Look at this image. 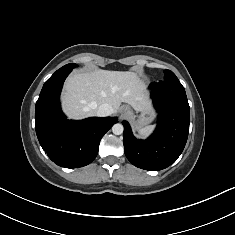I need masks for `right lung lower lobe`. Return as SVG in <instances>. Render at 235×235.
<instances>
[{
    "instance_id": "1",
    "label": "right lung lower lobe",
    "mask_w": 235,
    "mask_h": 235,
    "mask_svg": "<svg viewBox=\"0 0 235 235\" xmlns=\"http://www.w3.org/2000/svg\"><path fill=\"white\" fill-rule=\"evenodd\" d=\"M71 70H57L45 82L36 102L35 129L43 150L55 164L79 168L95 159L101 138L118 121L116 117L66 119L59 97Z\"/></svg>"
}]
</instances>
